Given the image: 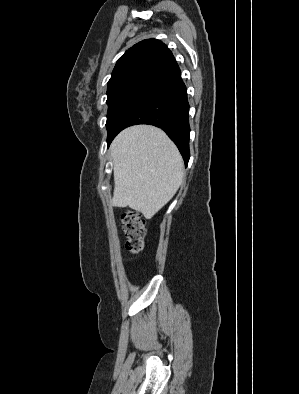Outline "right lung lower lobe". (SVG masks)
Returning <instances> with one entry per match:
<instances>
[{
	"mask_svg": "<svg viewBox=\"0 0 299 394\" xmlns=\"http://www.w3.org/2000/svg\"><path fill=\"white\" fill-rule=\"evenodd\" d=\"M189 104L187 91L178 68L146 89L124 112L107 144L124 128L136 124H150L164 130L177 145L185 165L189 152Z\"/></svg>",
	"mask_w": 299,
	"mask_h": 394,
	"instance_id": "1",
	"label": "right lung lower lobe"
}]
</instances>
